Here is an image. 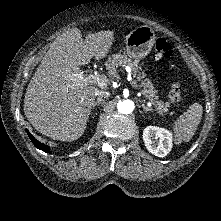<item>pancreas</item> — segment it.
Returning <instances> with one entry per match:
<instances>
[{
    "instance_id": "1",
    "label": "pancreas",
    "mask_w": 221,
    "mask_h": 221,
    "mask_svg": "<svg viewBox=\"0 0 221 221\" xmlns=\"http://www.w3.org/2000/svg\"><path fill=\"white\" fill-rule=\"evenodd\" d=\"M124 65H128L132 70L133 76L136 77L134 81L135 87L141 89L142 94L152 102L159 114L163 115L166 113L169 103L158 100V96L156 95L157 91L153 83L148 78H145L146 74L142 71L141 67L138 66L137 61H132L127 55L115 54L107 61L106 69L110 76L116 77L118 75L117 67ZM137 82H139V84H137Z\"/></svg>"
}]
</instances>
